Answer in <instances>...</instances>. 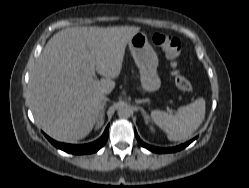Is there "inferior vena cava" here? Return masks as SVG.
Wrapping results in <instances>:
<instances>
[{
  "instance_id": "obj_1",
  "label": "inferior vena cava",
  "mask_w": 249,
  "mask_h": 188,
  "mask_svg": "<svg viewBox=\"0 0 249 188\" xmlns=\"http://www.w3.org/2000/svg\"><path fill=\"white\" fill-rule=\"evenodd\" d=\"M106 99H108V98H106L105 96L102 97V100H103V101H106Z\"/></svg>"
}]
</instances>
